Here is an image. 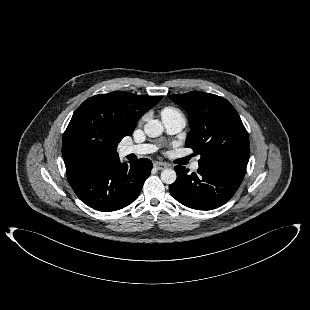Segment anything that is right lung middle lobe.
I'll list each match as a JSON object with an SVG mask.
<instances>
[{"instance_id": "dd1d6c3e", "label": "right lung middle lobe", "mask_w": 310, "mask_h": 310, "mask_svg": "<svg viewBox=\"0 0 310 310\" xmlns=\"http://www.w3.org/2000/svg\"><path fill=\"white\" fill-rule=\"evenodd\" d=\"M122 136L114 132L107 125L95 129L88 124H76L69 136L70 149L81 156H95L106 148V143L116 147Z\"/></svg>"}]
</instances>
